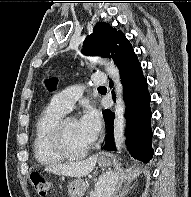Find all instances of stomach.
<instances>
[{
  "label": "stomach",
  "instance_id": "0dacf381",
  "mask_svg": "<svg viewBox=\"0 0 191 197\" xmlns=\"http://www.w3.org/2000/svg\"><path fill=\"white\" fill-rule=\"evenodd\" d=\"M100 167H108L111 164V160L109 158H100L98 161ZM114 181H110L104 191L107 192L112 188ZM86 191V184L81 178H77L72 180L68 185V194L69 197H82Z\"/></svg>",
  "mask_w": 191,
  "mask_h": 197
}]
</instances>
